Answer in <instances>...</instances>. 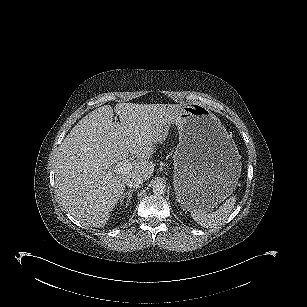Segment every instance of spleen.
Masks as SVG:
<instances>
[{
  "label": "spleen",
  "instance_id": "1",
  "mask_svg": "<svg viewBox=\"0 0 307 307\" xmlns=\"http://www.w3.org/2000/svg\"><path fill=\"white\" fill-rule=\"evenodd\" d=\"M235 202L236 198L232 196L214 212L206 207H195L190 210L191 216L200 226L215 228L226 221L234 208Z\"/></svg>",
  "mask_w": 307,
  "mask_h": 307
}]
</instances>
